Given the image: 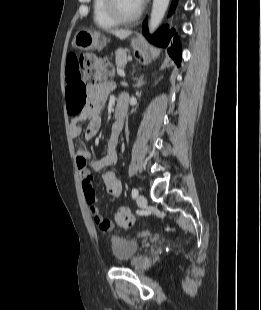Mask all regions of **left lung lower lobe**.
I'll return each mask as SVG.
<instances>
[{"instance_id":"left-lung-lower-lobe-1","label":"left lung lower lobe","mask_w":261,"mask_h":310,"mask_svg":"<svg viewBox=\"0 0 261 310\" xmlns=\"http://www.w3.org/2000/svg\"><path fill=\"white\" fill-rule=\"evenodd\" d=\"M176 5H177V0H173L169 15L173 14V12L175 11ZM142 30L146 38L151 43L159 47H168V45L173 39L174 43L168 48V53L174 59L175 63L178 66H180L181 47H180L179 37L177 33H175L174 29L170 30L168 25H164L154 35H149L148 28H147V21L145 20L142 24Z\"/></svg>"}]
</instances>
